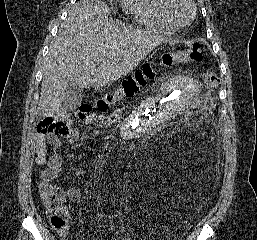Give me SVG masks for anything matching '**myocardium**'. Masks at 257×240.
<instances>
[{"mask_svg": "<svg viewBox=\"0 0 257 240\" xmlns=\"http://www.w3.org/2000/svg\"><path fill=\"white\" fill-rule=\"evenodd\" d=\"M174 1L175 0H162V10H163V13H164L166 19L172 25H174L176 28H183V27L190 25L193 22V20L196 16V12H197V7H196L195 2L193 0H184L191 7V15L187 22L181 23L173 16V14L171 12V5Z\"/></svg>", "mask_w": 257, "mask_h": 240, "instance_id": "1", "label": "myocardium"}]
</instances>
